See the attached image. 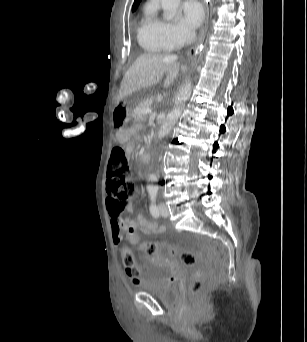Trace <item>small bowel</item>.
Instances as JSON below:
<instances>
[{"label":"small bowel","mask_w":307,"mask_h":342,"mask_svg":"<svg viewBox=\"0 0 307 342\" xmlns=\"http://www.w3.org/2000/svg\"><path fill=\"white\" fill-rule=\"evenodd\" d=\"M131 210V206L129 207ZM125 225H138L139 229H144L145 233H149V237H158L165 231V226L152 221L142 214H138L135 218L126 217L123 220H112L111 221V236L115 244L120 243L123 237H128L125 234Z\"/></svg>","instance_id":"c3829d8e"}]
</instances>
